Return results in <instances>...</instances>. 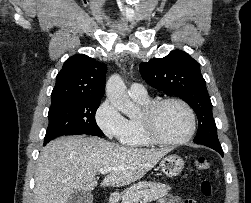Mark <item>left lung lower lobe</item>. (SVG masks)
Masks as SVG:
<instances>
[{
    "instance_id": "1",
    "label": "left lung lower lobe",
    "mask_w": 251,
    "mask_h": 203,
    "mask_svg": "<svg viewBox=\"0 0 251 203\" xmlns=\"http://www.w3.org/2000/svg\"><path fill=\"white\" fill-rule=\"evenodd\" d=\"M212 149L216 150L218 153H220L221 156H223V150L221 145L220 146H211Z\"/></svg>"
}]
</instances>
